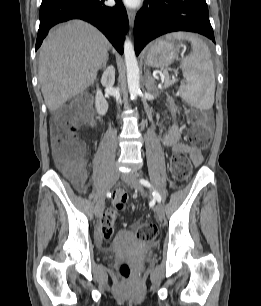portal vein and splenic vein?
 Instances as JSON below:
<instances>
[{
	"label": "portal vein and splenic vein",
	"instance_id": "1",
	"mask_svg": "<svg viewBox=\"0 0 261 306\" xmlns=\"http://www.w3.org/2000/svg\"><path fill=\"white\" fill-rule=\"evenodd\" d=\"M166 79L169 80L168 75H166ZM170 81V80H169Z\"/></svg>",
	"mask_w": 261,
	"mask_h": 306
}]
</instances>
